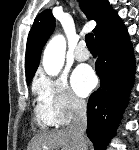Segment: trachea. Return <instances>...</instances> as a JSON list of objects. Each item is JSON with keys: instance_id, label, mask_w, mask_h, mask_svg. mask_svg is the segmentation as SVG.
<instances>
[{"instance_id": "1", "label": "trachea", "mask_w": 139, "mask_h": 150, "mask_svg": "<svg viewBox=\"0 0 139 150\" xmlns=\"http://www.w3.org/2000/svg\"><path fill=\"white\" fill-rule=\"evenodd\" d=\"M85 42H86V45H87L88 49H96L93 33H88L85 36Z\"/></svg>"}]
</instances>
